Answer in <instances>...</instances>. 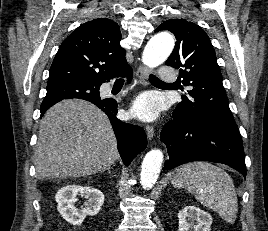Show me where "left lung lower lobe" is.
<instances>
[{
	"instance_id": "left-lung-lower-lobe-1",
	"label": "left lung lower lobe",
	"mask_w": 268,
	"mask_h": 231,
	"mask_svg": "<svg viewBox=\"0 0 268 231\" xmlns=\"http://www.w3.org/2000/svg\"><path fill=\"white\" fill-rule=\"evenodd\" d=\"M160 136L168 149L166 170L191 161H211L231 166L246 177L239 131L217 122L189 119L173 112V120L165 124Z\"/></svg>"
}]
</instances>
